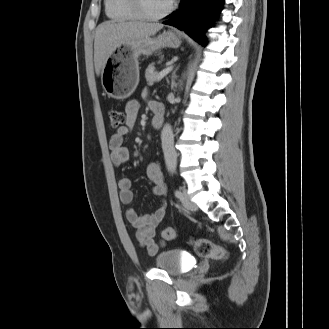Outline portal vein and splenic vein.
<instances>
[{
  "mask_svg": "<svg viewBox=\"0 0 329 329\" xmlns=\"http://www.w3.org/2000/svg\"><path fill=\"white\" fill-rule=\"evenodd\" d=\"M172 70V66L165 68L156 76V81H160L164 76H166Z\"/></svg>",
  "mask_w": 329,
  "mask_h": 329,
  "instance_id": "obj_1",
  "label": "portal vein and splenic vein"
}]
</instances>
